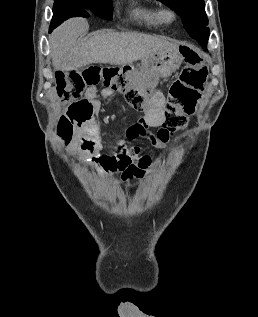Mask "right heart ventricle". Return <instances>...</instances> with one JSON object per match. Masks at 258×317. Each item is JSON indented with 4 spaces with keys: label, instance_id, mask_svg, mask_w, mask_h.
I'll return each instance as SVG.
<instances>
[{
    "label": "right heart ventricle",
    "instance_id": "right-heart-ventricle-1",
    "mask_svg": "<svg viewBox=\"0 0 258 317\" xmlns=\"http://www.w3.org/2000/svg\"><path fill=\"white\" fill-rule=\"evenodd\" d=\"M131 13L150 27H156L160 24L159 9L155 4H136Z\"/></svg>",
    "mask_w": 258,
    "mask_h": 317
}]
</instances>
